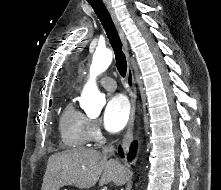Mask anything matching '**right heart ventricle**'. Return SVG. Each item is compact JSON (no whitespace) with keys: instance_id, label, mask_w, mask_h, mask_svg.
Instances as JSON below:
<instances>
[{"instance_id":"obj_1","label":"right heart ventricle","mask_w":221,"mask_h":190,"mask_svg":"<svg viewBox=\"0 0 221 190\" xmlns=\"http://www.w3.org/2000/svg\"><path fill=\"white\" fill-rule=\"evenodd\" d=\"M90 120L78 110L72 102H68L62 111L59 131L63 144L67 148H84L89 142L88 127Z\"/></svg>"}]
</instances>
